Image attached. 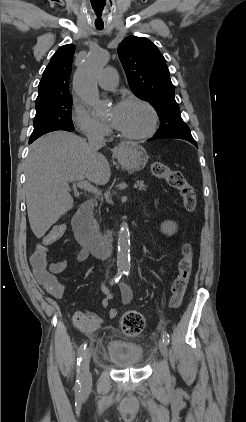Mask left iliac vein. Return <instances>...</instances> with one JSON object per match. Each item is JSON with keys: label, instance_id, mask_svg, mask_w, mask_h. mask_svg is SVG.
<instances>
[{"label": "left iliac vein", "instance_id": "obj_1", "mask_svg": "<svg viewBox=\"0 0 246 422\" xmlns=\"http://www.w3.org/2000/svg\"><path fill=\"white\" fill-rule=\"evenodd\" d=\"M159 350H160L162 356L164 358H166L167 355H168V349H167V344L165 343V341L162 338L159 340Z\"/></svg>", "mask_w": 246, "mask_h": 422}]
</instances>
